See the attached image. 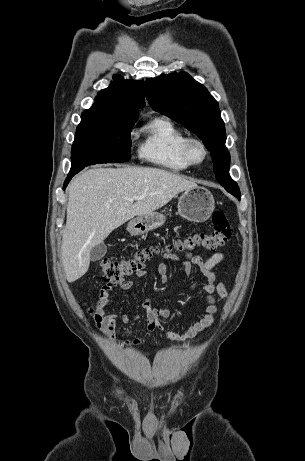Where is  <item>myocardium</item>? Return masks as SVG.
I'll use <instances>...</instances> for the list:
<instances>
[{"label":"myocardium","mask_w":305,"mask_h":461,"mask_svg":"<svg viewBox=\"0 0 305 461\" xmlns=\"http://www.w3.org/2000/svg\"><path fill=\"white\" fill-rule=\"evenodd\" d=\"M195 146H198L202 150V156L199 159L195 158L193 154V148ZM183 153L186 160L191 165H199L207 159L209 152L206 144L201 139L190 137L186 139L183 145Z\"/></svg>","instance_id":"myocardium-1"}]
</instances>
